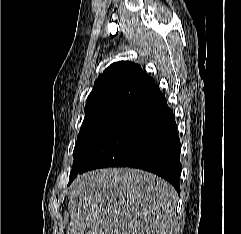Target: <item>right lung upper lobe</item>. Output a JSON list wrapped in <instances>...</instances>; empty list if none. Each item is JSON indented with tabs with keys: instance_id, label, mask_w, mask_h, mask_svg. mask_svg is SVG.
<instances>
[{
	"instance_id": "obj_1",
	"label": "right lung upper lobe",
	"mask_w": 241,
	"mask_h": 234,
	"mask_svg": "<svg viewBox=\"0 0 241 234\" xmlns=\"http://www.w3.org/2000/svg\"><path fill=\"white\" fill-rule=\"evenodd\" d=\"M158 90L155 80L138 64L120 61L111 64L95 81L85 108L108 103L138 105Z\"/></svg>"
}]
</instances>
